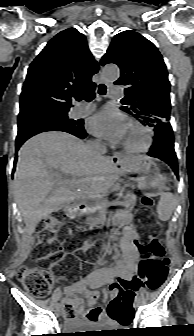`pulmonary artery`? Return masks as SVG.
Returning <instances> with one entry per match:
<instances>
[{"instance_id":"1","label":"pulmonary artery","mask_w":194,"mask_h":336,"mask_svg":"<svg viewBox=\"0 0 194 336\" xmlns=\"http://www.w3.org/2000/svg\"><path fill=\"white\" fill-rule=\"evenodd\" d=\"M123 96V89L121 87H114L110 91L111 98H120ZM95 106L93 104L82 105L77 107L74 112L77 116H82L91 113Z\"/></svg>"}]
</instances>
